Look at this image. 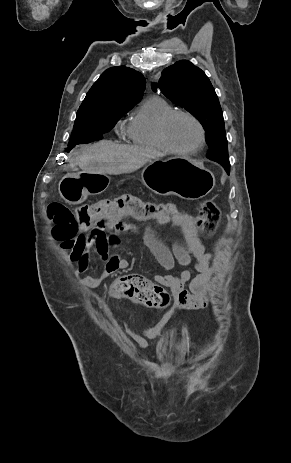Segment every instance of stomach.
Segmentation results:
<instances>
[{"label": "stomach", "instance_id": "0dacf381", "mask_svg": "<svg viewBox=\"0 0 291 463\" xmlns=\"http://www.w3.org/2000/svg\"><path fill=\"white\" fill-rule=\"evenodd\" d=\"M144 177L154 192L174 194L186 200L203 198L215 186V177L210 170L182 156L151 161ZM107 188L108 181L104 175L84 171L65 176L58 185L61 197L70 204L82 203L88 194L100 193Z\"/></svg>", "mask_w": 291, "mask_h": 463}]
</instances>
